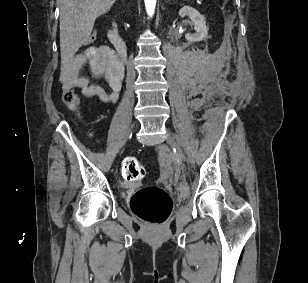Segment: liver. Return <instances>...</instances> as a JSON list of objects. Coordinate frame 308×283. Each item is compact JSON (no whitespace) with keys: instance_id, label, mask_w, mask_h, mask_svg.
Here are the masks:
<instances>
[{"instance_id":"obj_1","label":"liver","mask_w":308,"mask_h":283,"mask_svg":"<svg viewBox=\"0 0 308 283\" xmlns=\"http://www.w3.org/2000/svg\"><path fill=\"white\" fill-rule=\"evenodd\" d=\"M116 0H59L60 50L62 63L68 62L86 44L94 22L106 13Z\"/></svg>"}]
</instances>
